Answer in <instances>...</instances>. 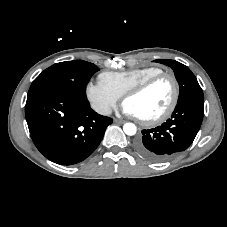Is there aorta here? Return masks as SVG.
<instances>
[{
	"label": "aorta",
	"instance_id": "762f6f07",
	"mask_svg": "<svg viewBox=\"0 0 227 227\" xmlns=\"http://www.w3.org/2000/svg\"><path fill=\"white\" fill-rule=\"evenodd\" d=\"M123 131L126 135L133 136L136 134L137 128H136L135 124H133V123H125L123 125Z\"/></svg>",
	"mask_w": 227,
	"mask_h": 227
}]
</instances>
